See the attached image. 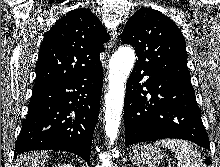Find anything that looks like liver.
Here are the masks:
<instances>
[{
    "mask_svg": "<svg viewBox=\"0 0 220 167\" xmlns=\"http://www.w3.org/2000/svg\"><path fill=\"white\" fill-rule=\"evenodd\" d=\"M47 158L48 152L46 151L31 152L19 156L14 167H42Z\"/></svg>",
    "mask_w": 220,
    "mask_h": 167,
    "instance_id": "1",
    "label": "liver"
}]
</instances>
